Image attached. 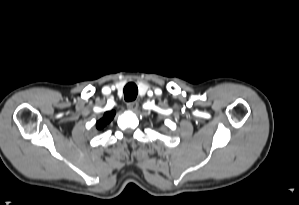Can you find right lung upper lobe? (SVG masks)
Wrapping results in <instances>:
<instances>
[{"instance_id":"obj_1","label":"right lung upper lobe","mask_w":299,"mask_h":205,"mask_svg":"<svg viewBox=\"0 0 299 205\" xmlns=\"http://www.w3.org/2000/svg\"><path fill=\"white\" fill-rule=\"evenodd\" d=\"M115 115V112L114 111H111V112H106L104 114V117L101 118L97 124H96V127L98 129H103L114 117Z\"/></svg>"}]
</instances>
